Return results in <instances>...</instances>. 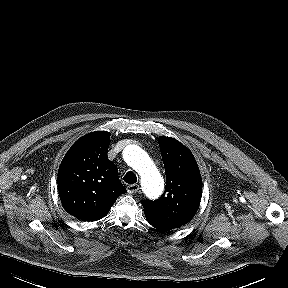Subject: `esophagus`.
<instances>
[{"mask_svg":"<svg viewBox=\"0 0 288 288\" xmlns=\"http://www.w3.org/2000/svg\"><path fill=\"white\" fill-rule=\"evenodd\" d=\"M140 187L138 184H131L127 186L128 193H137L139 191Z\"/></svg>","mask_w":288,"mask_h":288,"instance_id":"1","label":"esophagus"}]
</instances>
